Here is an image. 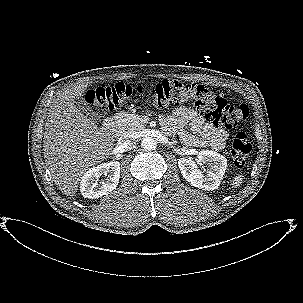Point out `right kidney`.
Here are the masks:
<instances>
[{
  "instance_id": "ca27d5eb",
  "label": "right kidney",
  "mask_w": 303,
  "mask_h": 303,
  "mask_svg": "<svg viewBox=\"0 0 303 303\" xmlns=\"http://www.w3.org/2000/svg\"><path fill=\"white\" fill-rule=\"evenodd\" d=\"M107 178L99 182L100 176ZM120 178V163L112 161L90 168L82 177L80 191L83 197L89 199L100 198L114 190Z\"/></svg>"
}]
</instances>
